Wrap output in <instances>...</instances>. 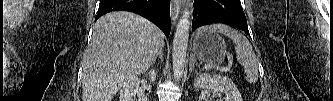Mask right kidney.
<instances>
[{
  "label": "right kidney",
  "instance_id": "1",
  "mask_svg": "<svg viewBox=\"0 0 333 101\" xmlns=\"http://www.w3.org/2000/svg\"><path fill=\"white\" fill-rule=\"evenodd\" d=\"M156 71L150 70L148 75L150 77V80L152 82L156 79ZM140 81L138 78H130L128 81H126L122 89L120 90V101H133V97L136 95L138 97H142V101H147V97H144L142 95L141 90L139 89Z\"/></svg>",
  "mask_w": 333,
  "mask_h": 101
}]
</instances>
